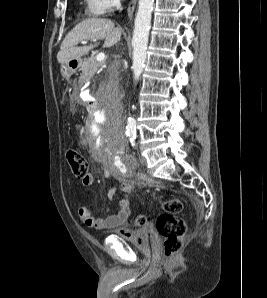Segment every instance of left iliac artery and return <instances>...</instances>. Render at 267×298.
Instances as JSON below:
<instances>
[{"mask_svg": "<svg viewBox=\"0 0 267 298\" xmlns=\"http://www.w3.org/2000/svg\"><path fill=\"white\" fill-rule=\"evenodd\" d=\"M135 139H136V136H133V137L130 138V143H131V145H132L133 147L136 146Z\"/></svg>", "mask_w": 267, "mask_h": 298, "instance_id": "left-iliac-artery-1", "label": "left iliac artery"}]
</instances>
